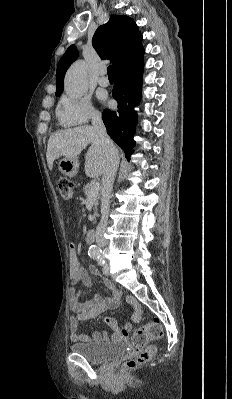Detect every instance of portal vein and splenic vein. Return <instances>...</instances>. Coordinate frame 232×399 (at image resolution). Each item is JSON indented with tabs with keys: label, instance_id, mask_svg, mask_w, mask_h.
<instances>
[{
	"label": "portal vein and splenic vein",
	"instance_id": "obj_1",
	"mask_svg": "<svg viewBox=\"0 0 232 399\" xmlns=\"http://www.w3.org/2000/svg\"><path fill=\"white\" fill-rule=\"evenodd\" d=\"M99 188H100V184H94V186H92V188L90 190V194H92V196H89V198H93V196H95V194H98Z\"/></svg>",
	"mask_w": 232,
	"mask_h": 399
}]
</instances>
